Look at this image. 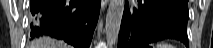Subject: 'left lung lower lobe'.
Returning <instances> with one entry per match:
<instances>
[{"instance_id": "obj_1", "label": "left lung lower lobe", "mask_w": 213, "mask_h": 48, "mask_svg": "<svg viewBox=\"0 0 213 48\" xmlns=\"http://www.w3.org/2000/svg\"><path fill=\"white\" fill-rule=\"evenodd\" d=\"M188 0H138L125 3L118 48H149L147 44L172 38L187 48Z\"/></svg>"}]
</instances>
